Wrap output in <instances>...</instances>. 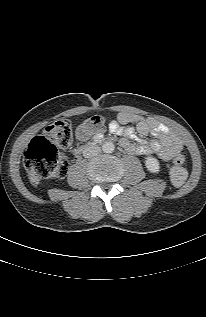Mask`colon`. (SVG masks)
I'll list each match as a JSON object with an SVG mask.
<instances>
[{
	"mask_svg": "<svg viewBox=\"0 0 206 317\" xmlns=\"http://www.w3.org/2000/svg\"><path fill=\"white\" fill-rule=\"evenodd\" d=\"M106 120L101 115H95L85 120L78 128L77 135L87 138L104 130ZM73 142L71 124L66 120H59L48 126L44 132L30 142L25 153L24 163L29 171L47 179H61L68 170V161L58 147L67 148ZM185 158L182 154L173 160L170 177L173 184L179 186L187 178V171L183 167Z\"/></svg>",
	"mask_w": 206,
	"mask_h": 317,
	"instance_id": "1",
	"label": "colon"
}]
</instances>
